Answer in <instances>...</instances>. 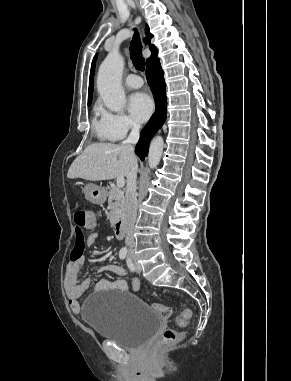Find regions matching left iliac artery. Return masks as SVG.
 I'll return each mask as SVG.
<instances>
[{
	"label": "left iliac artery",
	"mask_w": 291,
	"mask_h": 381,
	"mask_svg": "<svg viewBox=\"0 0 291 381\" xmlns=\"http://www.w3.org/2000/svg\"><path fill=\"white\" fill-rule=\"evenodd\" d=\"M127 266L131 271H134V266L130 258L127 259Z\"/></svg>",
	"instance_id": "44dca946"
}]
</instances>
